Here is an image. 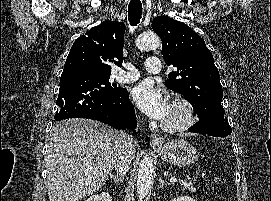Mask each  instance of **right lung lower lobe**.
I'll list each match as a JSON object with an SVG mask.
<instances>
[{
    "mask_svg": "<svg viewBox=\"0 0 271 201\" xmlns=\"http://www.w3.org/2000/svg\"><path fill=\"white\" fill-rule=\"evenodd\" d=\"M56 104L59 106L55 114L56 121L88 118L106 123L115 129L136 127L135 111L125 88H120L113 94L97 90L81 92L64 89L59 91Z\"/></svg>",
    "mask_w": 271,
    "mask_h": 201,
    "instance_id": "right-lung-lower-lobe-1",
    "label": "right lung lower lobe"
}]
</instances>
